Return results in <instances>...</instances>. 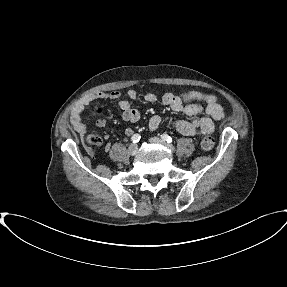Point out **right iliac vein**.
<instances>
[{
    "label": "right iliac vein",
    "mask_w": 287,
    "mask_h": 287,
    "mask_svg": "<svg viewBox=\"0 0 287 287\" xmlns=\"http://www.w3.org/2000/svg\"><path fill=\"white\" fill-rule=\"evenodd\" d=\"M137 150H138V146L136 144H130L129 147H128V153L130 155H135L137 153Z\"/></svg>",
    "instance_id": "63e3f726"
}]
</instances>
